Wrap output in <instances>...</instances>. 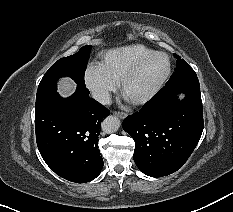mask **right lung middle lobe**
I'll return each mask as SVG.
<instances>
[{"label": "right lung middle lobe", "instance_id": "dd1d6c3e", "mask_svg": "<svg viewBox=\"0 0 233 212\" xmlns=\"http://www.w3.org/2000/svg\"><path fill=\"white\" fill-rule=\"evenodd\" d=\"M91 46L82 47L76 54L55 62L42 78L36 95V107H40L56 93L57 81L61 77H71L78 85L85 86L84 73L89 60Z\"/></svg>", "mask_w": 233, "mask_h": 212}]
</instances>
